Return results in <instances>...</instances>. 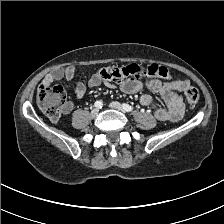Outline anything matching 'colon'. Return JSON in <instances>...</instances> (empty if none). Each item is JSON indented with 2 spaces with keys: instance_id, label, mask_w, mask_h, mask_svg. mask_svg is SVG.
<instances>
[{
  "instance_id": "1",
  "label": "colon",
  "mask_w": 224,
  "mask_h": 224,
  "mask_svg": "<svg viewBox=\"0 0 224 224\" xmlns=\"http://www.w3.org/2000/svg\"><path fill=\"white\" fill-rule=\"evenodd\" d=\"M144 72L150 76L162 79L170 78L169 70L165 66L158 64H152L146 70L135 64L122 67H105L99 71V77L105 81L119 82L128 76H134ZM185 96L189 105L196 106L199 103L200 94L195 87H187ZM37 102L40 109L52 120H58L61 113L69 107L67 93L59 85H40L37 90Z\"/></svg>"
}]
</instances>
